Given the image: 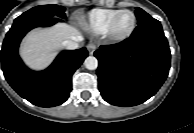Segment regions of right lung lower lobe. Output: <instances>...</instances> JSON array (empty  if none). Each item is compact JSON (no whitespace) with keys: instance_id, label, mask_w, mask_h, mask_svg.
<instances>
[{"instance_id":"right-lung-lower-lobe-1","label":"right lung lower lobe","mask_w":194,"mask_h":133,"mask_svg":"<svg viewBox=\"0 0 194 133\" xmlns=\"http://www.w3.org/2000/svg\"><path fill=\"white\" fill-rule=\"evenodd\" d=\"M62 22L61 18H43L14 22L2 46V70L10 86L24 99L40 107L64 103L72 90V75L88 56L85 48L61 52L44 71L29 70L18 55L21 39L31 29Z\"/></svg>"}]
</instances>
